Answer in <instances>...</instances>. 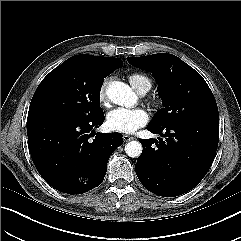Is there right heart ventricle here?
<instances>
[{"instance_id":"obj_1","label":"right heart ventricle","mask_w":241,"mask_h":241,"mask_svg":"<svg viewBox=\"0 0 241 241\" xmlns=\"http://www.w3.org/2000/svg\"><path fill=\"white\" fill-rule=\"evenodd\" d=\"M128 81L138 92H147L152 86V80L143 73L134 72L128 75Z\"/></svg>"}]
</instances>
